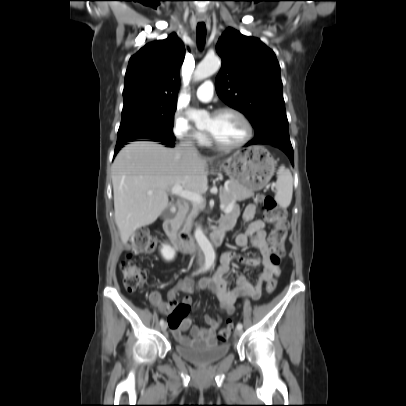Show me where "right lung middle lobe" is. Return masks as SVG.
<instances>
[{
	"label": "right lung middle lobe",
	"mask_w": 406,
	"mask_h": 406,
	"mask_svg": "<svg viewBox=\"0 0 406 406\" xmlns=\"http://www.w3.org/2000/svg\"><path fill=\"white\" fill-rule=\"evenodd\" d=\"M176 105H135L123 108L117 144L138 139H175L172 131Z\"/></svg>",
	"instance_id": "obj_1"
}]
</instances>
